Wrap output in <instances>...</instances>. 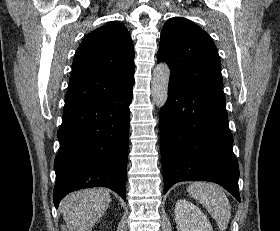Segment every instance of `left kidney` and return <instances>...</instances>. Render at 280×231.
I'll list each match as a JSON object with an SVG mask.
<instances>
[{
  "mask_svg": "<svg viewBox=\"0 0 280 231\" xmlns=\"http://www.w3.org/2000/svg\"><path fill=\"white\" fill-rule=\"evenodd\" d=\"M174 213L178 231H213L206 215L187 199L176 201Z\"/></svg>",
  "mask_w": 280,
  "mask_h": 231,
  "instance_id": "left-kidney-1",
  "label": "left kidney"
}]
</instances>
